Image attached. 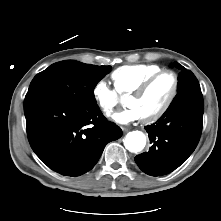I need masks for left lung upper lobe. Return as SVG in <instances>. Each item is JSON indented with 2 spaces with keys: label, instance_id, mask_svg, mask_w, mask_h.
Returning a JSON list of instances; mask_svg holds the SVG:
<instances>
[{
  "label": "left lung upper lobe",
  "instance_id": "obj_1",
  "mask_svg": "<svg viewBox=\"0 0 221 221\" xmlns=\"http://www.w3.org/2000/svg\"><path fill=\"white\" fill-rule=\"evenodd\" d=\"M175 66L182 70V72L179 76L178 94L175 96L169 107L184 99L186 95L196 90H200L198 80L191 71H185V68L177 62H175Z\"/></svg>",
  "mask_w": 221,
  "mask_h": 221
}]
</instances>
